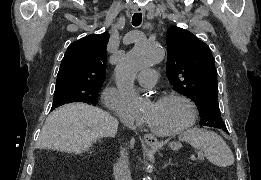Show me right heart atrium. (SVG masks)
<instances>
[{
  "instance_id": "d8ad5b80",
  "label": "right heart atrium",
  "mask_w": 261,
  "mask_h": 180,
  "mask_svg": "<svg viewBox=\"0 0 261 180\" xmlns=\"http://www.w3.org/2000/svg\"><path fill=\"white\" fill-rule=\"evenodd\" d=\"M118 93L112 86H108L102 92V104L105 108H112V112L117 114V117H122V120H129V125L124 127H132L129 114L127 113V105H122L121 98H118Z\"/></svg>"
}]
</instances>
